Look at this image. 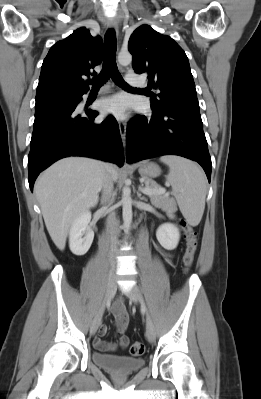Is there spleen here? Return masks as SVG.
I'll return each mask as SVG.
<instances>
[{
    "label": "spleen",
    "mask_w": 261,
    "mask_h": 399,
    "mask_svg": "<svg viewBox=\"0 0 261 399\" xmlns=\"http://www.w3.org/2000/svg\"><path fill=\"white\" fill-rule=\"evenodd\" d=\"M160 161L169 166L166 179L176 196L180 211L190 225H198L204 213L207 193L203 170L193 161L175 155L162 156Z\"/></svg>",
    "instance_id": "3e777b00"
}]
</instances>
